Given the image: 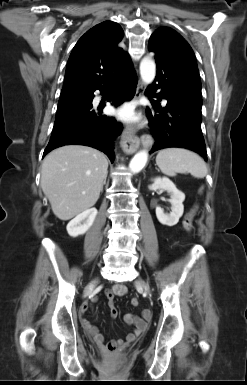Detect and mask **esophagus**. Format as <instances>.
<instances>
[{
    "mask_svg": "<svg viewBox=\"0 0 247 385\" xmlns=\"http://www.w3.org/2000/svg\"><path fill=\"white\" fill-rule=\"evenodd\" d=\"M144 90L145 85L143 82L140 81L136 88V93L134 96L135 100L141 98L144 93ZM136 131L137 129L134 126L128 125L122 133L121 147L128 154L134 153L139 148L140 141L136 136Z\"/></svg>",
    "mask_w": 247,
    "mask_h": 385,
    "instance_id": "obj_1",
    "label": "esophagus"
}]
</instances>
